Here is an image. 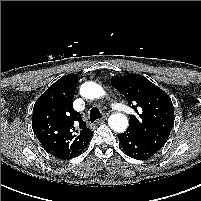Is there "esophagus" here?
I'll return each instance as SVG.
<instances>
[{
  "instance_id": "34e87169",
  "label": "esophagus",
  "mask_w": 201,
  "mask_h": 201,
  "mask_svg": "<svg viewBox=\"0 0 201 201\" xmlns=\"http://www.w3.org/2000/svg\"><path fill=\"white\" fill-rule=\"evenodd\" d=\"M107 117H108V114H105L101 119H98V120L96 121V124H99V123L105 121V120L107 119Z\"/></svg>"
}]
</instances>
